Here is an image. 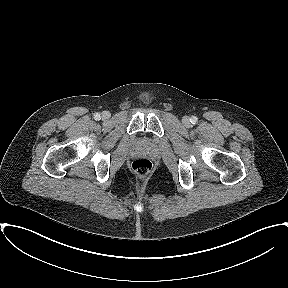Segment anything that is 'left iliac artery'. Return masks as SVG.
Returning a JSON list of instances; mask_svg holds the SVG:
<instances>
[{
    "instance_id": "left-iliac-artery-1",
    "label": "left iliac artery",
    "mask_w": 288,
    "mask_h": 288,
    "mask_svg": "<svg viewBox=\"0 0 288 288\" xmlns=\"http://www.w3.org/2000/svg\"><path fill=\"white\" fill-rule=\"evenodd\" d=\"M197 117L196 116H193L191 119H190V121H191V123L192 124H195L196 122H197Z\"/></svg>"
}]
</instances>
